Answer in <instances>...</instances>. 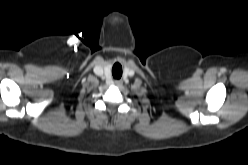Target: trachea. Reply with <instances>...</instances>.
<instances>
[{
    "label": "trachea",
    "mask_w": 248,
    "mask_h": 165,
    "mask_svg": "<svg viewBox=\"0 0 248 165\" xmlns=\"http://www.w3.org/2000/svg\"><path fill=\"white\" fill-rule=\"evenodd\" d=\"M112 75L115 79H120L122 76V67L120 64L116 63L112 68Z\"/></svg>",
    "instance_id": "trachea-1"
}]
</instances>
